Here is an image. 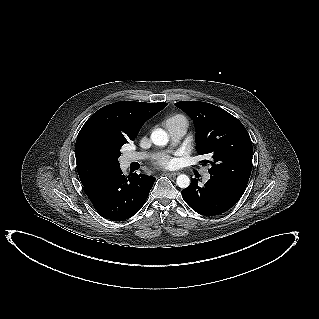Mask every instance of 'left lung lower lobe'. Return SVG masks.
<instances>
[{
	"instance_id": "0a47b994",
	"label": "left lung lower lobe",
	"mask_w": 319,
	"mask_h": 319,
	"mask_svg": "<svg viewBox=\"0 0 319 319\" xmlns=\"http://www.w3.org/2000/svg\"><path fill=\"white\" fill-rule=\"evenodd\" d=\"M246 186L226 177L212 175L204 187H199L197 179L182 190L185 202L197 213L214 216L231 209L242 197Z\"/></svg>"
}]
</instances>
